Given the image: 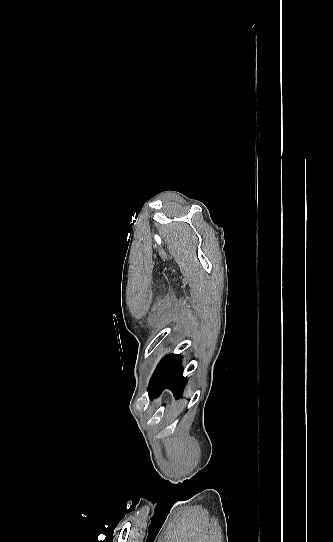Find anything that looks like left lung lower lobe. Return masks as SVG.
<instances>
[{
	"label": "left lung lower lobe",
	"instance_id": "obj_1",
	"mask_svg": "<svg viewBox=\"0 0 333 542\" xmlns=\"http://www.w3.org/2000/svg\"><path fill=\"white\" fill-rule=\"evenodd\" d=\"M180 354L164 356L158 363L149 383L148 393L152 399L165 388L173 390L176 396L182 395L187 378L182 373Z\"/></svg>",
	"mask_w": 333,
	"mask_h": 542
}]
</instances>
